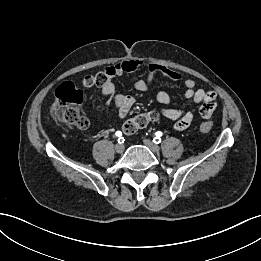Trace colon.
Wrapping results in <instances>:
<instances>
[{
    "instance_id": "colon-1",
    "label": "colon",
    "mask_w": 261,
    "mask_h": 261,
    "mask_svg": "<svg viewBox=\"0 0 261 261\" xmlns=\"http://www.w3.org/2000/svg\"><path fill=\"white\" fill-rule=\"evenodd\" d=\"M94 79L97 86H101L105 82V76L102 73L96 74ZM82 102L83 94L73 83L61 84L56 90V98L51 107L52 119L67 131L87 128L88 121L80 111ZM158 118L159 113L155 110L140 113L125 121L123 131L129 135L134 134ZM199 129L202 133H208L212 129V124L203 122Z\"/></svg>"
}]
</instances>
